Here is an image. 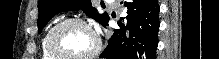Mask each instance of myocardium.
Masks as SVG:
<instances>
[{
    "instance_id": "myocardium-1",
    "label": "myocardium",
    "mask_w": 219,
    "mask_h": 59,
    "mask_svg": "<svg viewBox=\"0 0 219 59\" xmlns=\"http://www.w3.org/2000/svg\"><path fill=\"white\" fill-rule=\"evenodd\" d=\"M71 24L82 25L91 32L95 40V45H94V48L90 52L84 55H80V56H69V55H64L58 50L56 46V36L61 29ZM101 47H102V42H101L99 35L93 30V28L90 26V24L87 21H85L82 18H78V17L67 18V19H64L56 23L50 29L48 36H47L48 52L56 59H93L100 53Z\"/></svg>"
}]
</instances>
